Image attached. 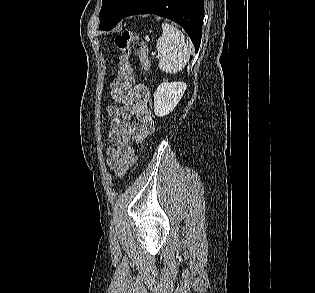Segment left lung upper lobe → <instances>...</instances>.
Listing matches in <instances>:
<instances>
[{
  "label": "left lung upper lobe",
  "instance_id": "obj_1",
  "mask_svg": "<svg viewBox=\"0 0 315 293\" xmlns=\"http://www.w3.org/2000/svg\"><path fill=\"white\" fill-rule=\"evenodd\" d=\"M140 0H103L100 11L101 30H111Z\"/></svg>",
  "mask_w": 315,
  "mask_h": 293
}]
</instances>
